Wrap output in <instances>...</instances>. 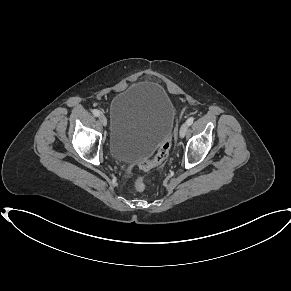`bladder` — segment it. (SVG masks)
Returning a JSON list of instances; mask_svg holds the SVG:
<instances>
[{"instance_id":"31cf9c89","label":"bladder","mask_w":291,"mask_h":291,"mask_svg":"<svg viewBox=\"0 0 291 291\" xmlns=\"http://www.w3.org/2000/svg\"><path fill=\"white\" fill-rule=\"evenodd\" d=\"M174 116L173 103L158 84L130 85L110 106V157L122 163L145 160L170 137Z\"/></svg>"}]
</instances>
